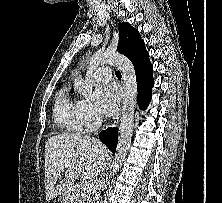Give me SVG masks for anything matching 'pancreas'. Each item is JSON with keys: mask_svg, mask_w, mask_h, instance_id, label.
I'll use <instances>...</instances> for the list:
<instances>
[{"mask_svg": "<svg viewBox=\"0 0 222 203\" xmlns=\"http://www.w3.org/2000/svg\"><path fill=\"white\" fill-rule=\"evenodd\" d=\"M83 184L77 186V188L74 192L75 199L77 200V202H75V203H92V201H94V199H95L94 190L86 192L83 189Z\"/></svg>", "mask_w": 222, "mask_h": 203, "instance_id": "obj_1", "label": "pancreas"}]
</instances>
